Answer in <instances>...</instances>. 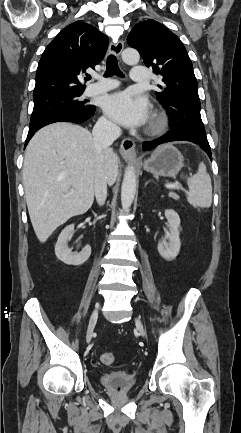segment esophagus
Returning a JSON list of instances; mask_svg holds the SVG:
<instances>
[{"instance_id": "esophagus-1", "label": "esophagus", "mask_w": 241, "mask_h": 433, "mask_svg": "<svg viewBox=\"0 0 241 433\" xmlns=\"http://www.w3.org/2000/svg\"><path fill=\"white\" fill-rule=\"evenodd\" d=\"M124 43L122 40L112 42L109 46V53L119 57L123 51ZM120 153L123 158L131 159L135 156V142L131 138H124L120 145Z\"/></svg>"}]
</instances>
